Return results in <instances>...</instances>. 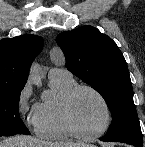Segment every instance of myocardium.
<instances>
[{
	"label": "myocardium",
	"instance_id": "f54148a6",
	"mask_svg": "<svg viewBox=\"0 0 145 147\" xmlns=\"http://www.w3.org/2000/svg\"><path fill=\"white\" fill-rule=\"evenodd\" d=\"M83 90H87L93 93L100 100V102L102 103L105 109V113H106L105 124L100 130L95 132H86L85 130H83L77 123L73 113V102L76 96L78 95V93ZM62 111H63L64 119L68 124L69 128L77 136L84 139H94L100 137L109 129L112 122V111L107 99L99 90H97L95 87L91 85H86V84L75 85L64 98L62 103Z\"/></svg>",
	"mask_w": 145,
	"mask_h": 147
}]
</instances>
